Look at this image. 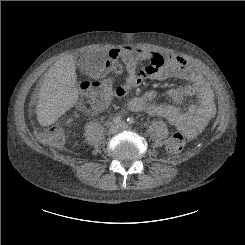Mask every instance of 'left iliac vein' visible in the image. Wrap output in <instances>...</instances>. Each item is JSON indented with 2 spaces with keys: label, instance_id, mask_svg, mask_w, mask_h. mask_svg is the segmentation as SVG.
I'll return each instance as SVG.
<instances>
[{
  "label": "left iliac vein",
  "instance_id": "obj_1",
  "mask_svg": "<svg viewBox=\"0 0 245 245\" xmlns=\"http://www.w3.org/2000/svg\"><path fill=\"white\" fill-rule=\"evenodd\" d=\"M118 127H119V130L129 129V125L126 122H122Z\"/></svg>",
  "mask_w": 245,
  "mask_h": 245
}]
</instances>
